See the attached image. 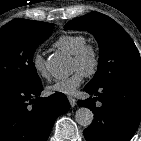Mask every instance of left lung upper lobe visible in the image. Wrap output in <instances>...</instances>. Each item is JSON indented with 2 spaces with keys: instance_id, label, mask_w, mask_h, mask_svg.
Returning <instances> with one entry per match:
<instances>
[{
  "instance_id": "5c2ea615",
  "label": "left lung upper lobe",
  "mask_w": 141,
  "mask_h": 141,
  "mask_svg": "<svg viewBox=\"0 0 141 141\" xmlns=\"http://www.w3.org/2000/svg\"><path fill=\"white\" fill-rule=\"evenodd\" d=\"M65 29L87 30L98 41V69L87 86L98 88L116 81L141 82L140 54L131 37L113 19L92 12L70 21Z\"/></svg>"
}]
</instances>
